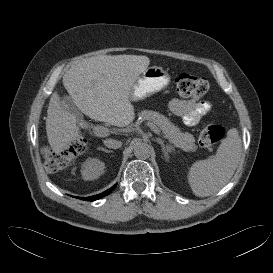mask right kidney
Masks as SVG:
<instances>
[{"mask_svg":"<svg viewBox=\"0 0 273 273\" xmlns=\"http://www.w3.org/2000/svg\"><path fill=\"white\" fill-rule=\"evenodd\" d=\"M105 168V164L97 158L88 160L82 171L83 178L86 180H93L99 177Z\"/></svg>","mask_w":273,"mask_h":273,"instance_id":"obj_1","label":"right kidney"}]
</instances>
